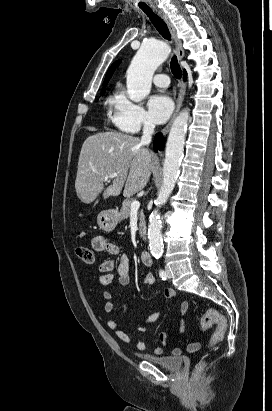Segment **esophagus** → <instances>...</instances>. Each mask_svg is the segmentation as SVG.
I'll list each match as a JSON object with an SVG mask.
<instances>
[{
    "mask_svg": "<svg viewBox=\"0 0 272 411\" xmlns=\"http://www.w3.org/2000/svg\"><path fill=\"white\" fill-rule=\"evenodd\" d=\"M154 9H155L156 12L158 13V15L163 19V21L166 23V25H167V27H168V29H169V32H170V34H171V36H172L173 42H174L176 55H177V57H178V60L181 61V60L183 59V57H184V50H183V47H182V41H181V39L178 37V35H177V33H176V30H175L172 22H171L170 19L168 18V16H167L166 14H164L162 11L158 10L157 8L154 7ZM185 91H186V83L183 82V83L181 84L180 91H179V95H178V98H177V101H176L175 111H174V113H173V115H172L169 123H168V124L164 127V129L162 130V134H163V135H166V134L169 132L170 127H171V125H172V123H173V120L175 119L176 115L178 114V112H179V110H180V108H181V106H182V103H183V100H184Z\"/></svg>",
    "mask_w": 272,
    "mask_h": 411,
    "instance_id": "34e87169",
    "label": "esophagus"
}]
</instances>
